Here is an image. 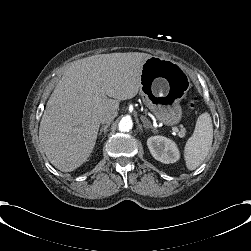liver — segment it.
<instances>
[{
    "instance_id": "6515ba94",
    "label": "liver",
    "mask_w": 251,
    "mask_h": 251,
    "mask_svg": "<svg viewBox=\"0 0 251 251\" xmlns=\"http://www.w3.org/2000/svg\"><path fill=\"white\" fill-rule=\"evenodd\" d=\"M150 57L115 52L70 65L49 97L39 129L40 145L56 168L72 171L84 162L94 147L101 119L113 120L119 100L138 93L141 69ZM100 94L105 96L103 101L96 99Z\"/></svg>"
}]
</instances>
